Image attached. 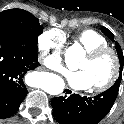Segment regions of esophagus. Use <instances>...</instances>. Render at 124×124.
<instances>
[{"instance_id":"esophagus-1","label":"esophagus","mask_w":124,"mask_h":124,"mask_svg":"<svg viewBox=\"0 0 124 124\" xmlns=\"http://www.w3.org/2000/svg\"><path fill=\"white\" fill-rule=\"evenodd\" d=\"M70 93H73V91H72V90H70Z\"/></svg>"}]
</instances>
